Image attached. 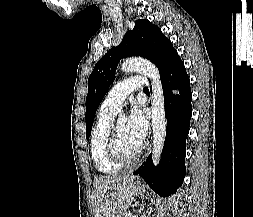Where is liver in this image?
<instances>
[{
  "instance_id": "obj_1",
  "label": "liver",
  "mask_w": 253,
  "mask_h": 217,
  "mask_svg": "<svg viewBox=\"0 0 253 217\" xmlns=\"http://www.w3.org/2000/svg\"><path fill=\"white\" fill-rule=\"evenodd\" d=\"M132 175L102 176L93 182L94 217H124L137 192Z\"/></svg>"
}]
</instances>
